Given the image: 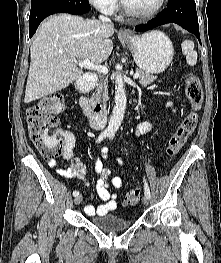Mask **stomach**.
<instances>
[{"instance_id":"1","label":"stomach","mask_w":221,"mask_h":263,"mask_svg":"<svg viewBox=\"0 0 221 263\" xmlns=\"http://www.w3.org/2000/svg\"><path fill=\"white\" fill-rule=\"evenodd\" d=\"M134 58L136 65L150 74H158L170 65L174 48L171 40L161 31L122 38Z\"/></svg>"}]
</instances>
